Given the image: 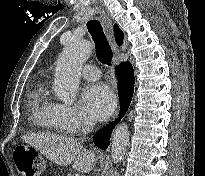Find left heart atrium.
<instances>
[{
	"instance_id": "39dd6f15",
	"label": "left heart atrium",
	"mask_w": 205,
	"mask_h": 176,
	"mask_svg": "<svg viewBox=\"0 0 205 176\" xmlns=\"http://www.w3.org/2000/svg\"><path fill=\"white\" fill-rule=\"evenodd\" d=\"M84 110L94 119L104 120L113 111L116 97L105 84L96 83L86 86L81 95Z\"/></svg>"
}]
</instances>
